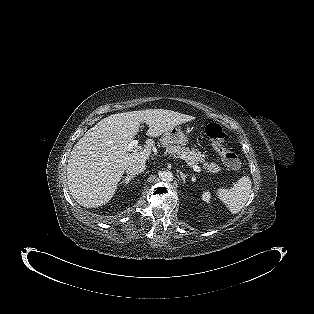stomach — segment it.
Masks as SVG:
<instances>
[{
	"mask_svg": "<svg viewBox=\"0 0 314 314\" xmlns=\"http://www.w3.org/2000/svg\"><path fill=\"white\" fill-rule=\"evenodd\" d=\"M162 145L167 143H173L182 147L187 145L188 139L179 127H173L169 131L165 132L160 139Z\"/></svg>",
	"mask_w": 314,
	"mask_h": 314,
	"instance_id": "0dacf381",
	"label": "stomach"
}]
</instances>
